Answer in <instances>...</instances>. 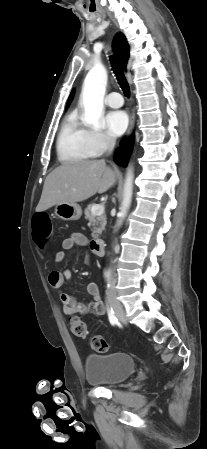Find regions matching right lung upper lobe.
<instances>
[{
  "label": "right lung upper lobe",
  "instance_id": "cb5924a9",
  "mask_svg": "<svg viewBox=\"0 0 207 449\" xmlns=\"http://www.w3.org/2000/svg\"><path fill=\"white\" fill-rule=\"evenodd\" d=\"M113 48H114L116 54L118 55L119 59L121 60L123 67L125 68L127 61L129 59V45H128L127 40L123 34L118 33L115 36L114 41H113ZM71 99H72V93L69 96L67 105L69 104Z\"/></svg>",
  "mask_w": 207,
  "mask_h": 449
}]
</instances>
